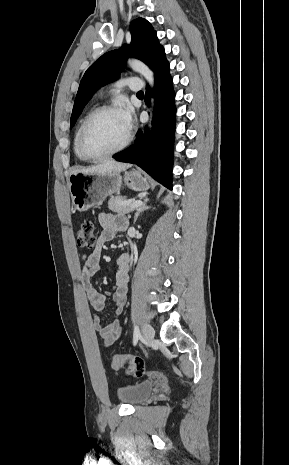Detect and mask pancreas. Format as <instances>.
Instances as JSON below:
<instances>
[{
	"label": "pancreas",
	"instance_id": "cf45deb5",
	"mask_svg": "<svg viewBox=\"0 0 289 465\" xmlns=\"http://www.w3.org/2000/svg\"><path fill=\"white\" fill-rule=\"evenodd\" d=\"M126 197L116 196L112 197L108 202V207L112 212L119 214H126L132 212L135 207L131 206L132 201L125 203Z\"/></svg>",
	"mask_w": 289,
	"mask_h": 465
}]
</instances>
